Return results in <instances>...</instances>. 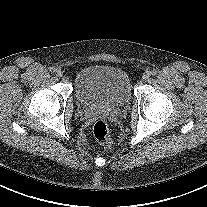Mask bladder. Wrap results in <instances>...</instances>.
<instances>
[{"instance_id": "bladder-1", "label": "bladder", "mask_w": 207, "mask_h": 207, "mask_svg": "<svg viewBox=\"0 0 207 207\" xmlns=\"http://www.w3.org/2000/svg\"><path fill=\"white\" fill-rule=\"evenodd\" d=\"M78 101L87 107H121L132 96L129 75L119 67L92 65L81 69L74 82Z\"/></svg>"}]
</instances>
